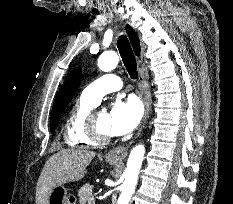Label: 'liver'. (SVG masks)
Masks as SVG:
<instances>
[{"label": "liver", "mask_w": 233, "mask_h": 204, "mask_svg": "<svg viewBox=\"0 0 233 204\" xmlns=\"http://www.w3.org/2000/svg\"><path fill=\"white\" fill-rule=\"evenodd\" d=\"M95 155L82 149H66L52 155L37 181L36 204H47L54 186L81 180Z\"/></svg>", "instance_id": "6515ba94"}]
</instances>
